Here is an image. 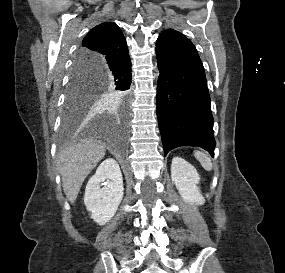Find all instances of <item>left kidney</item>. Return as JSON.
Here are the masks:
<instances>
[{
	"mask_svg": "<svg viewBox=\"0 0 285 273\" xmlns=\"http://www.w3.org/2000/svg\"><path fill=\"white\" fill-rule=\"evenodd\" d=\"M171 179L185 202L194 205L204 204V197L197 186L200 177L194 166L183 158H173L171 164Z\"/></svg>",
	"mask_w": 285,
	"mask_h": 273,
	"instance_id": "obj_1",
	"label": "left kidney"
}]
</instances>
